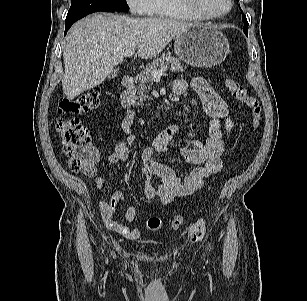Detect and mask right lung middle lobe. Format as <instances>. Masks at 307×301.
Returning <instances> with one entry per match:
<instances>
[{
	"mask_svg": "<svg viewBox=\"0 0 307 301\" xmlns=\"http://www.w3.org/2000/svg\"><path fill=\"white\" fill-rule=\"evenodd\" d=\"M125 0H72L66 21L82 18L90 13L128 11Z\"/></svg>",
	"mask_w": 307,
	"mask_h": 301,
	"instance_id": "dd1d6c3e",
	"label": "right lung middle lobe"
}]
</instances>
